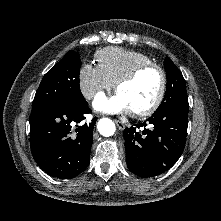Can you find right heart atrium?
<instances>
[{
  "label": "right heart atrium",
  "instance_id": "1",
  "mask_svg": "<svg viewBox=\"0 0 221 221\" xmlns=\"http://www.w3.org/2000/svg\"><path fill=\"white\" fill-rule=\"evenodd\" d=\"M114 84L96 65L86 63L79 72V90L87 100L94 98L105 90H109Z\"/></svg>",
  "mask_w": 221,
  "mask_h": 221
}]
</instances>
